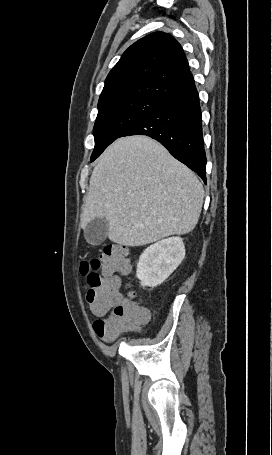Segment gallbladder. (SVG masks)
Returning a JSON list of instances; mask_svg holds the SVG:
<instances>
[{
    "label": "gallbladder",
    "mask_w": 272,
    "mask_h": 455,
    "mask_svg": "<svg viewBox=\"0 0 272 455\" xmlns=\"http://www.w3.org/2000/svg\"><path fill=\"white\" fill-rule=\"evenodd\" d=\"M109 229L105 218H95L84 229V237L91 245H100L105 241Z\"/></svg>",
    "instance_id": "1"
}]
</instances>
